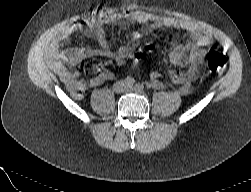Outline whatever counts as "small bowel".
<instances>
[{"mask_svg": "<svg viewBox=\"0 0 251 192\" xmlns=\"http://www.w3.org/2000/svg\"><path fill=\"white\" fill-rule=\"evenodd\" d=\"M125 19L142 24H152L155 27H166L183 30L187 34V39L175 42L169 52V58L174 64L187 65L184 71L172 74V81L177 86V93L186 95L192 88V83L196 80L200 67L204 62L205 48L211 44V36L197 23L183 18L162 17L150 14L141 10L130 12H100L95 19H92L82 29L84 33L91 37L103 40L102 24L113 23ZM79 28L77 24H68L61 27L49 40L47 52L54 60L53 68L65 84L71 95L75 99H81L85 92L92 87L98 86L106 80L112 79L114 74L108 68L98 67L96 73L88 79H79L78 73L67 70L65 64L75 66L94 52L89 49H77L68 55L59 53L58 44L67 39L75 30ZM133 41L121 47L117 52H111L107 47H103L97 54L111 57L118 65H123L127 61L136 57ZM162 74L158 71L150 73L151 84L154 88L164 87L161 81Z\"/></svg>", "mask_w": 251, "mask_h": 192, "instance_id": "obj_1", "label": "small bowel"}]
</instances>
